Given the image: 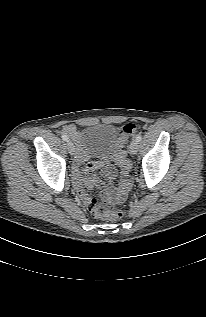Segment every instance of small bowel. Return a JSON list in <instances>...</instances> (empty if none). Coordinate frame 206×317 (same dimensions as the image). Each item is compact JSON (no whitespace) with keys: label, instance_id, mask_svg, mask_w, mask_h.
<instances>
[{"label":"small bowel","instance_id":"obj_1","mask_svg":"<svg viewBox=\"0 0 206 317\" xmlns=\"http://www.w3.org/2000/svg\"><path fill=\"white\" fill-rule=\"evenodd\" d=\"M63 132L68 134L74 140H79V132L74 125H67L64 127ZM89 159V154L84 148H79L74 164H73V173L75 180L76 190L82 200V202L89 208L94 199L88 194L87 190L91 189L93 186H102L103 182L96 178L94 171L101 165L106 167V174L111 178L115 175V169L111 167L108 163H97V162H87ZM87 162L84 166L83 164ZM123 179L120 183V186L117 191H115L113 186H109L105 192L107 197H114L117 201H122L130 186L131 178L130 173L125 174L122 172Z\"/></svg>","mask_w":206,"mask_h":317}]
</instances>
